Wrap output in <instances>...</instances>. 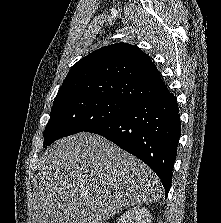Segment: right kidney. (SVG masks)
<instances>
[{
  "mask_svg": "<svg viewBox=\"0 0 221 223\" xmlns=\"http://www.w3.org/2000/svg\"><path fill=\"white\" fill-rule=\"evenodd\" d=\"M117 223H151V214L147 208L137 206L127 210Z\"/></svg>",
  "mask_w": 221,
  "mask_h": 223,
  "instance_id": "ca27d5eb",
  "label": "right kidney"
}]
</instances>
